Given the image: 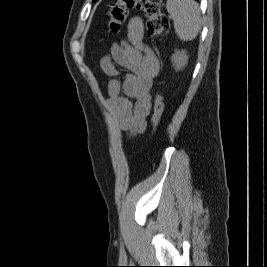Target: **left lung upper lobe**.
I'll use <instances>...</instances> for the list:
<instances>
[{
	"instance_id": "obj_1",
	"label": "left lung upper lobe",
	"mask_w": 267,
	"mask_h": 267,
	"mask_svg": "<svg viewBox=\"0 0 267 267\" xmlns=\"http://www.w3.org/2000/svg\"><path fill=\"white\" fill-rule=\"evenodd\" d=\"M96 1H98V0H93V2H96Z\"/></svg>"
}]
</instances>
